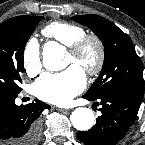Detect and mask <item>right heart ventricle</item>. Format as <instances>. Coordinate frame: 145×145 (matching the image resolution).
Returning <instances> with one entry per match:
<instances>
[{"label":"right heart ventricle","mask_w":145,"mask_h":145,"mask_svg":"<svg viewBox=\"0 0 145 145\" xmlns=\"http://www.w3.org/2000/svg\"><path fill=\"white\" fill-rule=\"evenodd\" d=\"M43 35L59 43L70 46L76 39L86 33L85 29L77 24L65 21H55L42 29Z\"/></svg>","instance_id":"obj_1"}]
</instances>
